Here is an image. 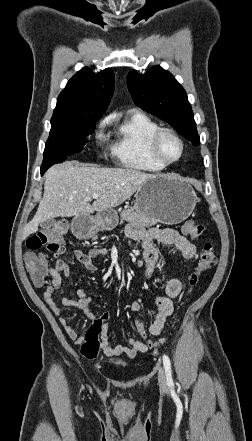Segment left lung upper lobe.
I'll return each instance as SVG.
<instances>
[{"label": "left lung upper lobe", "instance_id": "5c2ea615", "mask_svg": "<svg viewBox=\"0 0 252 441\" xmlns=\"http://www.w3.org/2000/svg\"><path fill=\"white\" fill-rule=\"evenodd\" d=\"M127 86L137 106L173 125L193 145L200 143L186 92L171 73L160 66L145 74L133 70Z\"/></svg>", "mask_w": 252, "mask_h": 441}]
</instances>
